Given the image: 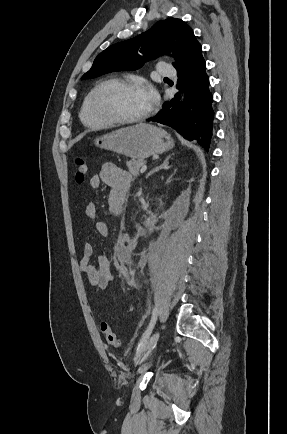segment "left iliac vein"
<instances>
[{"mask_svg": "<svg viewBox=\"0 0 287 434\" xmlns=\"http://www.w3.org/2000/svg\"><path fill=\"white\" fill-rule=\"evenodd\" d=\"M160 337V331H156L154 332L145 342V344L143 345V347L141 348V350L136 354V359H145L148 354L152 351V349L155 347V345L157 344L158 340ZM147 369V365L143 364L139 371L140 372H144Z\"/></svg>", "mask_w": 287, "mask_h": 434, "instance_id": "4c4485c4", "label": "left iliac vein"}]
</instances>
